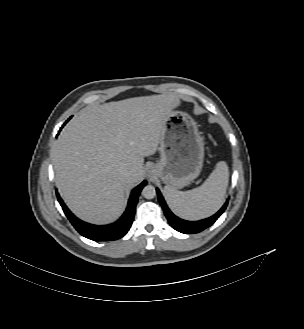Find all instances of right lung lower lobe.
Returning a JSON list of instances; mask_svg holds the SVG:
<instances>
[{"label": "right lung lower lobe", "mask_w": 304, "mask_h": 329, "mask_svg": "<svg viewBox=\"0 0 304 329\" xmlns=\"http://www.w3.org/2000/svg\"><path fill=\"white\" fill-rule=\"evenodd\" d=\"M146 184L147 182L143 181L140 185L133 189L130 195L127 209L122 217L115 223L104 226L92 225L79 220L66 207L58 193L57 198L65 215L82 236L94 241H111L123 237L130 229L134 219L138 196Z\"/></svg>", "instance_id": "right-lung-lower-lobe-1"}]
</instances>
